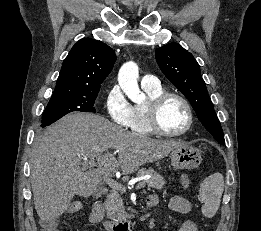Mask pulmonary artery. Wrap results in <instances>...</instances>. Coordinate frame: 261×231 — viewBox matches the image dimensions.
Returning <instances> with one entry per match:
<instances>
[{"label": "pulmonary artery", "instance_id": "pulmonary-artery-1", "mask_svg": "<svg viewBox=\"0 0 261 231\" xmlns=\"http://www.w3.org/2000/svg\"><path fill=\"white\" fill-rule=\"evenodd\" d=\"M141 85L144 88H148V87H158L159 83H158V79L155 75L152 74H145L142 79H141Z\"/></svg>", "mask_w": 261, "mask_h": 231}]
</instances>
